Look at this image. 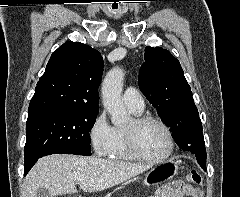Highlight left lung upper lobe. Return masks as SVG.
Returning a JSON list of instances; mask_svg holds the SVG:
<instances>
[{"label":"left lung upper lobe","mask_w":240,"mask_h":197,"mask_svg":"<svg viewBox=\"0 0 240 197\" xmlns=\"http://www.w3.org/2000/svg\"><path fill=\"white\" fill-rule=\"evenodd\" d=\"M144 59L138 77L140 90L170 127L179 147L206 160L201 120L179 61L168 50L150 46L145 48ZM184 129L191 133L184 135Z\"/></svg>","instance_id":"obj_1"}]
</instances>
